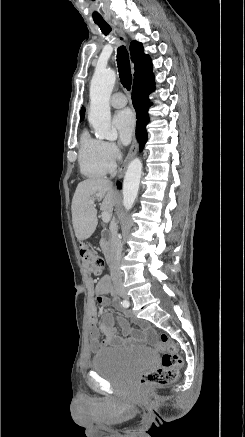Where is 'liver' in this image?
Segmentation results:
<instances>
[{"label":"liver","mask_w":245,"mask_h":437,"mask_svg":"<svg viewBox=\"0 0 245 437\" xmlns=\"http://www.w3.org/2000/svg\"><path fill=\"white\" fill-rule=\"evenodd\" d=\"M103 200L101 210L112 213L116 203V194L112 182L106 179H86L80 182L72 199V223L75 235L79 241L88 239L96 230L97 209L90 200L92 197Z\"/></svg>","instance_id":"1"}]
</instances>
